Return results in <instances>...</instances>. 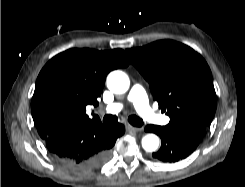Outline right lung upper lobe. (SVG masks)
Returning a JSON list of instances; mask_svg holds the SVG:
<instances>
[{
  "mask_svg": "<svg viewBox=\"0 0 245 187\" xmlns=\"http://www.w3.org/2000/svg\"><path fill=\"white\" fill-rule=\"evenodd\" d=\"M129 63L121 49H69L49 60L38 75L31 103L40 137L46 139L57 130L100 121L86 115V106L96 107L107 74Z\"/></svg>",
  "mask_w": 245,
  "mask_h": 187,
  "instance_id": "1",
  "label": "right lung upper lobe"
}]
</instances>
